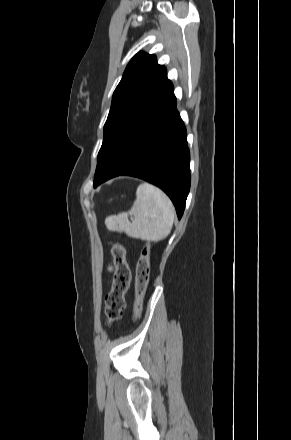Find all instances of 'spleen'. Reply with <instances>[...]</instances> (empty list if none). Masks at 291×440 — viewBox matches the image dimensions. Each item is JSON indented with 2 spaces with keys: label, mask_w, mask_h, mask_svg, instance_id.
Instances as JSON below:
<instances>
[{
  "label": "spleen",
  "mask_w": 291,
  "mask_h": 440,
  "mask_svg": "<svg viewBox=\"0 0 291 440\" xmlns=\"http://www.w3.org/2000/svg\"><path fill=\"white\" fill-rule=\"evenodd\" d=\"M129 215L134 217L132 222L128 220ZM174 216L175 209L168 196L154 185L142 183L131 210L107 217L105 224L110 231L157 242L170 234Z\"/></svg>",
  "instance_id": "3e777b00"
}]
</instances>
